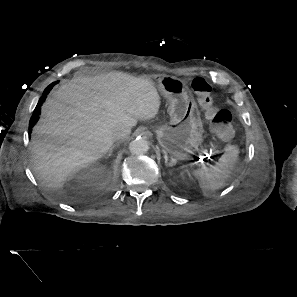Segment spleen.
<instances>
[{"label":"spleen","instance_id":"3e777b00","mask_svg":"<svg viewBox=\"0 0 297 297\" xmlns=\"http://www.w3.org/2000/svg\"><path fill=\"white\" fill-rule=\"evenodd\" d=\"M238 153L236 146H230L215 166H203L192 171V175L199 181L203 195L206 196L225 185L235 166Z\"/></svg>","mask_w":297,"mask_h":297}]
</instances>
